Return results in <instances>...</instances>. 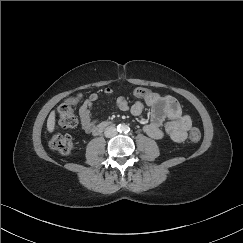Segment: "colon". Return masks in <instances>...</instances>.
Listing matches in <instances>:
<instances>
[{
    "label": "colon",
    "instance_id": "5ec220e1",
    "mask_svg": "<svg viewBox=\"0 0 243 243\" xmlns=\"http://www.w3.org/2000/svg\"><path fill=\"white\" fill-rule=\"evenodd\" d=\"M142 88H138L135 91L136 95L143 94ZM76 103L75 98H67L64 100L58 108L59 123L66 128H74L77 125V118L74 113L73 106ZM201 138V132L198 128H191L189 132V139L193 142L199 141ZM50 146L54 150L62 154H68L74 150L72 139L67 134L55 132L50 137Z\"/></svg>",
    "mask_w": 243,
    "mask_h": 243
}]
</instances>
